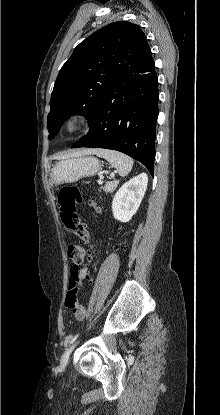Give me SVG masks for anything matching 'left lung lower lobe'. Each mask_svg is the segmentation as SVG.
Listing matches in <instances>:
<instances>
[{"instance_id": "left-lung-lower-lobe-1", "label": "left lung lower lobe", "mask_w": 220, "mask_h": 415, "mask_svg": "<svg viewBox=\"0 0 220 415\" xmlns=\"http://www.w3.org/2000/svg\"><path fill=\"white\" fill-rule=\"evenodd\" d=\"M158 97L152 58L142 69L116 79L89 122V132L72 148L120 151L144 164L153 176Z\"/></svg>"}]
</instances>
